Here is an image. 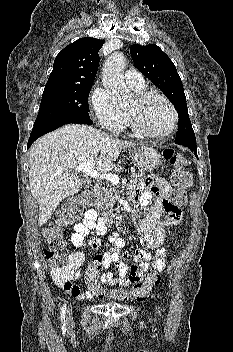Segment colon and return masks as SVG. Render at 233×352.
<instances>
[{
  "mask_svg": "<svg viewBox=\"0 0 233 352\" xmlns=\"http://www.w3.org/2000/svg\"><path fill=\"white\" fill-rule=\"evenodd\" d=\"M163 154L173 168L171 175L173 190L167 197L168 203L173 207L183 206L187 201V189L191 184V176L186 172L187 160L182 154L176 153L172 149H165ZM86 205L85 196L72 199L65 209L58 214L55 224L49 226L43 232L48 243V247L44 249V255L51 264V274L55 280L65 281L73 274V268L63 255L66 241L61 228L79 220ZM103 260V254L94 256L85 273L88 291L93 296L100 298L107 296L116 300H126L132 297L138 301H143L150 296L152 287L160 282L161 270L154 267L147 272L145 280L136 284L130 292L124 289L105 291L99 281Z\"/></svg>",
  "mask_w": 233,
  "mask_h": 352,
  "instance_id": "colon-1",
  "label": "colon"
}]
</instances>
